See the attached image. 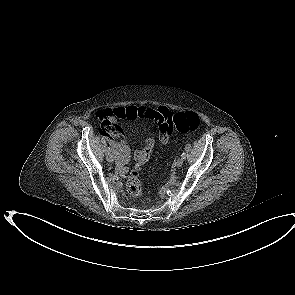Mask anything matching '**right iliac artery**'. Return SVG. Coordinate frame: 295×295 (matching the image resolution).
<instances>
[{"label":"right iliac artery","instance_id":"obj_1","mask_svg":"<svg viewBox=\"0 0 295 295\" xmlns=\"http://www.w3.org/2000/svg\"><path fill=\"white\" fill-rule=\"evenodd\" d=\"M110 152H111V148L108 147V148L106 149V154H109Z\"/></svg>","mask_w":295,"mask_h":295}]
</instances>
